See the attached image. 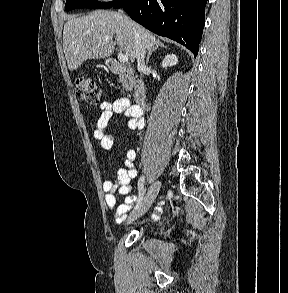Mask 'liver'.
Segmentation results:
<instances>
[{"label":"liver","mask_w":288,"mask_h":293,"mask_svg":"<svg viewBox=\"0 0 288 293\" xmlns=\"http://www.w3.org/2000/svg\"><path fill=\"white\" fill-rule=\"evenodd\" d=\"M130 22L138 32L145 52L155 49L159 42L155 36L119 12L98 10L70 18L63 30V50L69 70H76L87 59L110 57L116 42L119 49L134 62L136 42ZM114 36L116 42L113 41Z\"/></svg>","instance_id":"liver-1"}]
</instances>
